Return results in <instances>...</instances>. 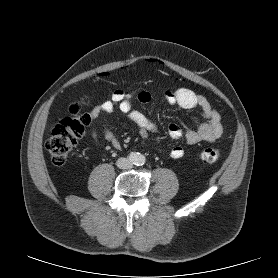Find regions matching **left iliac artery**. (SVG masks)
<instances>
[{"mask_svg":"<svg viewBox=\"0 0 278 278\" xmlns=\"http://www.w3.org/2000/svg\"><path fill=\"white\" fill-rule=\"evenodd\" d=\"M145 162V158L143 156H140L139 160H138V165H143Z\"/></svg>","mask_w":278,"mask_h":278,"instance_id":"44dca946","label":"left iliac artery"}]
</instances>
